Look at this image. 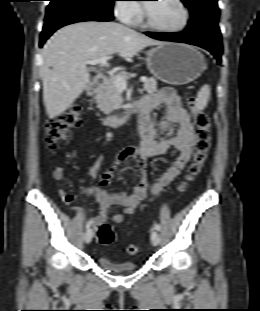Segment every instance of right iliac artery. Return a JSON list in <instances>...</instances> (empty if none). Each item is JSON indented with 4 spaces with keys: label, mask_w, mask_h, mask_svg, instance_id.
Listing matches in <instances>:
<instances>
[{
    "label": "right iliac artery",
    "mask_w": 260,
    "mask_h": 311,
    "mask_svg": "<svg viewBox=\"0 0 260 311\" xmlns=\"http://www.w3.org/2000/svg\"><path fill=\"white\" fill-rule=\"evenodd\" d=\"M91 224H92V220H89L88 223H87V225H86V229H87V230L90 228Z\"/></svg>",
    "instance_id": "obj_1"
}]
</instances>
